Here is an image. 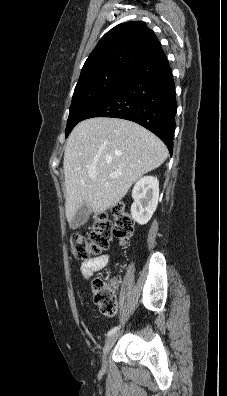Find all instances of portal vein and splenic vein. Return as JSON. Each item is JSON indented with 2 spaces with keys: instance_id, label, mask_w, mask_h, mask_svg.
Masks as SVG:
<instances>
[{
  "instance_id": "18ae733b",
  "label": "portal vein and splenic vein",
  "mask_w": 227,
  "mask_h": 396,
  "mask_svg": "<svg viewBox=\"0 0 227 396\" xmlns=\"http://www.w3.org/2000/svg\"><path fill=\"white\" fill-rule=\"evenodd\" d=\"M88 176L90 177V178H95L96 177V174H95V172H89L88 173ZM111 176H113V175H111Z\"/></svg>"
}]
</instances>
